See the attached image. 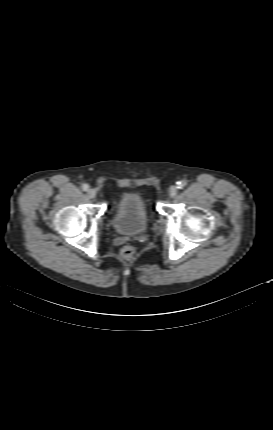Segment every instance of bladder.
<instances>
[{
  "mask_svg": "<svg viewBox=\"0 0 273 430\" xmlns=\"http://www.w3.org/2000/svg\"><path fill=\"white\" fill-rule=\"evenodd\" d=\"M113 228L122 235L137 236L148 229L146 204L137 193H126L116 203L112 215Z\"/></svg>",
  "mask_w": 273,
  "mask_h": 430,
  "instance_id": "1",
  "label": "bladder"
}]
</instances>
